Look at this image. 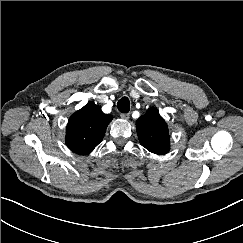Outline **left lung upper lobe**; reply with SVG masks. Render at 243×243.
Returning a JSON list of instances; mask_svg holds the SVG:
<instances>
[{"instance_id":"1","label":"left lung upper lobe","mask_w":243,"mask_h":243,"mask_svg":"<svg viewBox=\"0 0 243 243\" xmlns=\"http://www.w3.org/2000/svg\"><path fill=\"white\" fill-rule=\"evenodd\" d=\"M140 144L154 154L164 155L170 150V136L166 122L156 108H150L136 121Z\"/></svg>"}]
</instances>
